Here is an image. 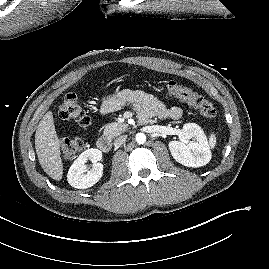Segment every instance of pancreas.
<instances>
[{"label": "pancreas", "instance_id": "obj_1", "mask_svg": "<svg viewBox=\"0 0 269 269\" xmlns=\"http://www.w3.org/2000/svg\"><path fill=\"white\" fill-rule=\"evenodd\" d=\"M128 128V125L126 123H117L112 122L110 124H107L104 128V136L111 139L114 138L123 132H125Z\"/></svg>", "mask_w": 269, "mask_h": 269}]
</instances>
